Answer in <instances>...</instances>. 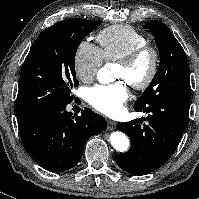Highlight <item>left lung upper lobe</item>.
I'll return each instance as SVG.
<instances>
[{
	"label": "left lung upper lobe",
	"instance_id": "left-lung-upper-lobe-1",
	"mask_svg": "<svg viewBox=\"0 0 199 199\" xmlns=\"http://www.w3.org/2000/svg\"><path fill=\"white\" fill-rule=\"evenodd\" d=\"M155 36L160 65L152 82L134 103V109L149 110L166 101L191 103L189 64L185 51L165 24L151 20L143 26Z\"/></svg>",
	"mask_w": 199,
	"mask_h": 199
}]
</instances>
